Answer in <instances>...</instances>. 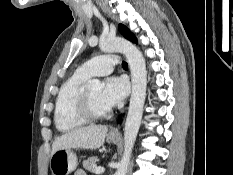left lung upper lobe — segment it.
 <instances>
[{"mask_svg":"<svg viewBox=\"0 0 233 175\" xmlns=\"http://www.w3.org/2000/svg\"><path fill=\"white\" fill-rule=\"evenodd\" d=\"M119 30L121 34L131 42L137 43L136 37L133 35V33L124 25L120 24L119 25Z\"/></svg>","mask_w":233,"mask_h":175,"instance_id":"5c2ea615","label":"left lung upper lobe"}]
</instances>
